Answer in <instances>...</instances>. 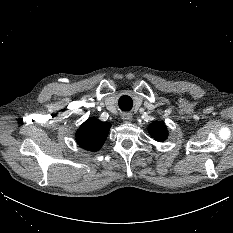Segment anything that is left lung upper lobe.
I'll return each instance as SVG.
<instances>
[{"label":"left lung upper lobe","mask_w":233,"mask_h":233,"mask_svg":"<svg viewBox=\"0 0 233 233\" xmlns=\"http://www.w3.org/2000/svg\"><path fill=\"white\" fill-rule=\"evenodd\" d=\"M148 131L151 136L157 141H164L168 135L166 126L160 122L152 123L149 126Z\"/></svg>","instance_id":"left-lung-upper-lobe-1"}]
</instances>
